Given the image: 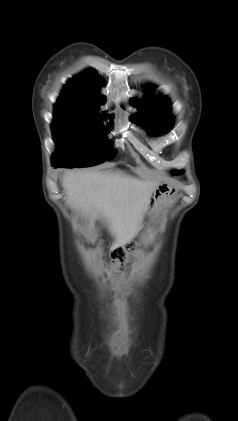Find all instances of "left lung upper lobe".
Here are the masks:
<instances>
[{
  "label": "left lung upper lobe",
  "instance_id": "1",
  "mask_svg": "<svg viewBox=\"0 0 238 421\" xmlns=\"http://www.w3.org/2000/svg\"><path fill=\"white\" fill-rule=\"evenodd\" d=\"M140 111L144 112L143 119L139 116L131 117V120L141 122L149 133L159 135L166 133L172 126V120H168L170 105L164 97H152L148 94L139 105Z\"/></svg>",
  "mask_w": 238,
  "mask_h": 421
}]
</instances>
